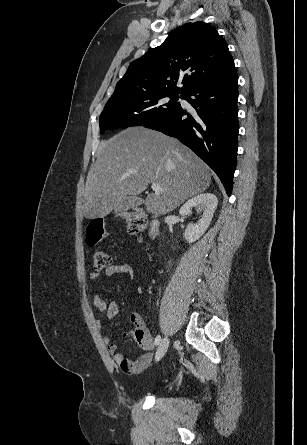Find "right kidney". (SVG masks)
Instances as JSON below:
<instances>
[{
  "mask_svg": "<svg viewBox=\"0 0 307 445\" xmlns=\"http://www.w3.org/2000/svg\"><path fill=\"white\" fill-rule=\"evenodd\" d=\"M217 204L218 198L213 192H203V194H197V196L189 198V200L181 206L179 212L182 216L188 214L192 206H197V210H203L202 218H199L197 223H193V225L190 223V225H187L184 237L188 243H194V241L200 239L205 231H207Z\"/></svg>",
  "mask_w": 307,
  "mask_h": 445,
  "instance_id": "right-kidney-1",
  "label": "right kidney"
}]
</instances>
